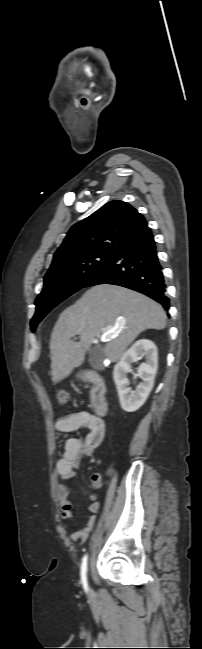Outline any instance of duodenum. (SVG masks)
<instances>
[{
	"instance_id": "duodenum-1",
	"label": "duodenum",
	"mask_w": 202,
	"mask_h": 649,
	"mask_svg": "<svg viewBox=\"0 0 202 649\" xmlns=\"http://www.w3.org/2000/svg\"><path fill=\"white\" fill-rule=\"evenodd\" d=\"M85 380L91 383L90 399L95 413L104 416L108 411L107 388L104 379L94 371L85 373Z\"/></svg>"
}]
</instances>
